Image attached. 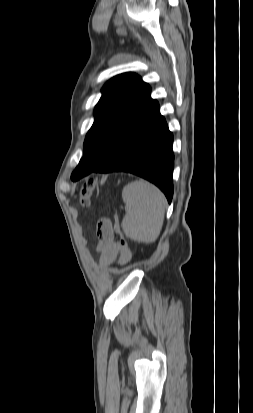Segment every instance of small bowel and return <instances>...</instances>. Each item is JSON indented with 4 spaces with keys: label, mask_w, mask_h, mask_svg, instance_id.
Here are the masks:
<instances>
[{
    "label": "small bowel",
    "mask_w": 253,
    "mask_h": 413,
    "mask_svg": "<svg viewBox=\"0 0 253 413\" xmlns=\"http://www.w3.org/2000/svg\"><path fill=\"white\" fill-rule=\"evenodd\" d=\"M97 236V250L100 254L99 262L102 266L111 265L117 259L119 263L125 264L131 259L130 249L114 241L113 228L108 219L104 218L99 221Z\"/></svg>",
    "instance_id": "c3829d8e"
}]
</instances>
